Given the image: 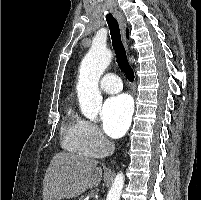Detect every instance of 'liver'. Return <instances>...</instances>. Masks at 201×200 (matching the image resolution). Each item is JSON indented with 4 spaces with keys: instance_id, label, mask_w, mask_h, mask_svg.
I'll use <instances>...</instances> for the list:
<instances>
[{
    "instance_id": "obj_1",
    "label": "liver",
    "mask_w": 201,
    "mask_h": 200,
    "mask_svg": "<svg viewBox=\"0 0 201 200\" xmlns=\"http://www.w3.org/2000/svg\"><path fill=\"white\" fill-rule=\"evenodd\" d=\"M102 180V169L97 161L72 153L56 154L43 180V200L72 199L87 189L97 187Z\"/></svg>"
}]
</instances>
